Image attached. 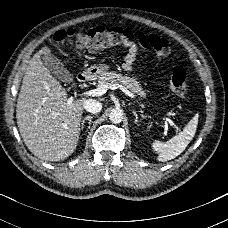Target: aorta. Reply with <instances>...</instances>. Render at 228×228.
<instances>
[{"instance_id": "obj_1", "label": "aorta", "mask_w": 228, "mask_h": 228, "mask_svg": "<svg viewBox=\"0 0 228 228\" xmlns=\"http://www.w3.org/2000/svg\"><path fill=\"white\" fill-rule=\"evenodd\" d=\"M109 120L114 124L120 123L123 120V112L121 110L113 109L110 112Z\"/></svg>"}]
</instances>
